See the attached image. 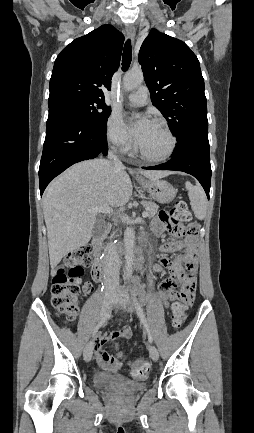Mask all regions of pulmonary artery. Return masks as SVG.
Masks as SVG:
<instances>
[{"label": "pulmonary artery", "mask_w": 254, "mask_h": 433, "mask_svg": "<svg viewBox=\"0 0 254 433\" xmlns=\"http://www.w3.org/2000/svg\"><path fill=\"white\" fill-rule=\"evenodd\" d=\"M148 89L145 86H140L136 91L127 96V101L133 106H142L147 103Z\"/></svg>", "instance_id": "obj_1"}]
</instances>
